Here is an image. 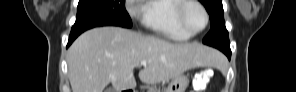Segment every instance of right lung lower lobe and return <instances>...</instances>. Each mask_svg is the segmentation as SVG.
Masks as SVG:
<instances>
[{
    "mask_svg": "<svg viewBox=\"0 0 296 92\" xmlns=\"http://www.w3.org/2000/svg\"><path fill=\"white\" fill-rule=\"evenodd\" d=\"M82 32V30H77V29H74L72 28L71 30V33H70V36H69V41H68V44H67V47L78 37V35H80Z\"/></svg>",
    "mask_w": 296,
    "mask_h": 92,
    "instance_id": "right-lung-lower-lobe-1",
    "label": "right lung lower lobe"
}]
</instances>
